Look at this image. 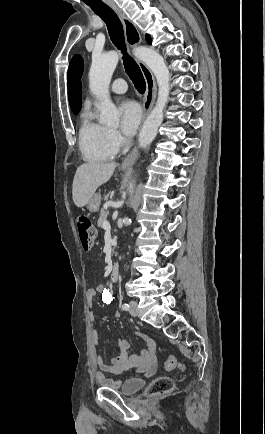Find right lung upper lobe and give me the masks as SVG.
<instances>
[{
  "label": "right lung upper lobe",
  "mask_w": 265,
  "mask_h": 434,
  "mask_svg": "<svg viewBox=\"0 0 265 434\" xmlns=\"http://www.w3.org/2000/svg\"><path fill=\"white\" fill-rule=\"evenodd\" d=\"M84 69L83 59L80 55H75L70 61L68 69V98L70 107L81 105V77Z\"/></svg>",
  "instance_id": "cb5924a9"
}]
</instances>
